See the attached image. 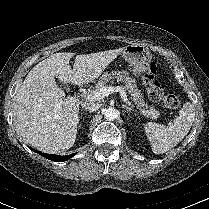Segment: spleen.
<instances>
[{
	"mask_svg": "<svg viewBox=\"0 0 209 209\" xmlns=\"http://www.w3.org/2000/svg\"><path fill=\"white\" fill-rule=\"evenodd\" d=\"M195 118V108L186 102L172 125L165 126L153 122L144 125L146 135L155 154H162L175 147L188 134Z\"/></svg>",
	"mask_w": 209,
	"mask_h": 209,
	"instance_id": "obj_1",
	"label": "spleen"
}]
</instances>
